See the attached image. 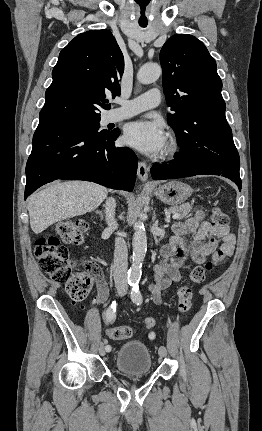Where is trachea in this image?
<instances>
[{
    "label": "trachea",
    "instance_id": "1",
    "mask_svg": "<svg viewBox=\"0 0 262 431\" xmlns=\"http://www.w3.org/2000/svg\"><path fill=\"white\" fill-rule=\"evenodd\" d=\"M138 6H139V11L141 14H145L146 8L149 5V0H136ZM145 27V26H143Z\"/></svg>",
    "mask_w": 262,
    "mask_h": 431
}]
</instances>
